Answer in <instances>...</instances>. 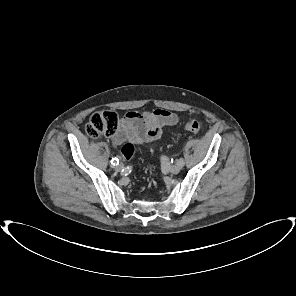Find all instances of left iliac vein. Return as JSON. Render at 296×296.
I'll list each match as a JSON object with an SVG mask.
<instances>
[{
  "mask_svg": "<svg viewBox=\"0 0 296 296\" xmlns=\"http://www.w3.org/2000/svg\"><path fill=\"white\" fill-rule=\"evenodd\" d=\"M181 169H182V166L178 163L169 167V171L173 174L179 173Z\"/></svg>",
  "mask_w": 296,
  "mask_h": 296,
  "instance_id": "obj_1",
  "label": "left iliac vein"
}]
</instances>
